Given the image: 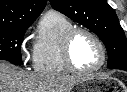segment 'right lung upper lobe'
I'll return each instance as SVG.
<instances>
[{
  "instance_id": "cb5924a9",
  "label": "right lung upper lobe",
  "mask_w": 127,
  "mask_h": 92,
  "mask_svg": "<svg viewBox=\"0 0 127 92\" xmlns=\"http://www.w3.org/2000/svg\"><path fill=\"white\" fill-rule=\"evenodd\" d=\"M47 0H0V28L31 25Z\"/></svg>"
}]
</instances>
